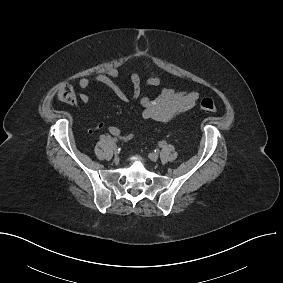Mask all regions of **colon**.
<instances>
[{
	"label": "colon",
	"instance_id": "obj_1",
	"mask_svg": "<svg viewBox=\"0 0 283 283\" xmlns=\"http://www.w3.org/2000/svg\"><path fill=\"white\" fill-rule=\"evenodd\" d=\"M58 98L65 103H74L76 101V94L70 84L62 85L57 91ZM200 108L206 112H216L217 106L210 98H204L200 102Z\"/></svg>",
	"mask_w": 283,
	"mask_h": 283
}]
</instances>
